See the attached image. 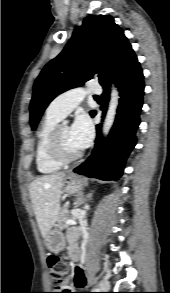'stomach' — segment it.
Returning a JSON list of instances; mask_svg holds the SVG:
<instances>
[{
    "label": "stomach",
    "instance_id": "obj_1",
    "mask_svg": "<svg viewBox=\"0 0 170 293\" xmlns=\"http://www.w3.org/2000/svg\"><path fill=\"white\" fill-rule=\"evenodd\" d=\"M83 179L77 175L69 174L64 178L62 191L67 194L81 193ZM46 248L54 253H59L65 248V237L57 229L50 230L44 238Z\"/></svg>",
    "mask_w": 170,
    "mask_h": 293
}]
</instances>
